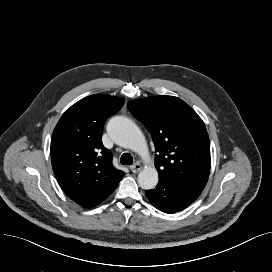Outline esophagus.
<instances>
[{
  "instance_id": "obj_1",
  "label": "esophagus",
  "mask_w": 272,
  "mask_h": 272,
  "mask_svg": "<svg viewBox=\"0 0 272 272\" xmlns=\"http://www.w3.org/2000/svg\"><path fill=\"white\" fill-rule=\"evenodd\" d=\"M142 168V165L137 162L135 163L134 165L130 166V170L133 172V173H138Z\"/></svg>"
}]
</instances>
